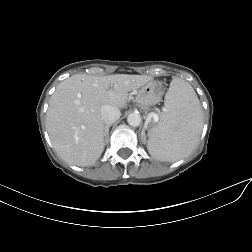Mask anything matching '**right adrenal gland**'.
Masks as SVG:
<instances>
[{
    "label": "right adrenal gland",
    "instance_id": "obj_1",
    "mask_svg": "<svg viewBox=\"0 0 252 252\" xmlns=\"http://www.w3.org/2000/svg\"><path fill=\"white\" fill-rule=\"evenodd\" d=\"M112 126V124H108L105 126V138L106 142L108 141V136H109V128Z\"/></svg>",
    "mask_w": 252,
    "mask_h": 252
}]
</instances>
